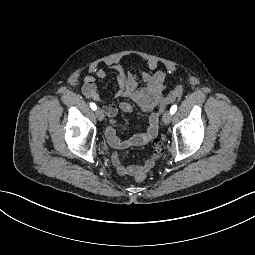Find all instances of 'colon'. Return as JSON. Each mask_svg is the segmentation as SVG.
Segmentation results:
<instances>
[{
    "mask_svg": "<svg viewBox=\"0 0 255 255\" xmlns=\"http://www.w3.org/2000/svg\"><path fill=\"white\" fill-rule=\"evenodd\" d=\"M183 86L181 84L176 85L172 91H170V93L164 97L160 104H159V112L158 115L163 112L167 106H169L171 103H173L174 101H176L178 98L181 97L182 93H183ZM148 175L147 171L141 170L138 171L135 175H134V179L137 182H143L146 180Z\"/></svg>",
    "mask_w": 255,
    "mask_h": 255,
    "instance_id": "5ec220e1",
    "label": "colon"
}]
</instances>
